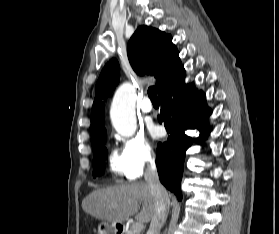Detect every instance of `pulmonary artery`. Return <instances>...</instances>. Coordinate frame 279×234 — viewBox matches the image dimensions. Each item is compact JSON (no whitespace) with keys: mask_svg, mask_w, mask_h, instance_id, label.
I'll list each match as a JSON object with an SVG mask.
<instances>
[{"mask_svg":"<svg viewBox=\"0 0 279 234\" xmlns=\"http://www.w3.org/2000/svg\"><path fill=\"white\" fill-rule=\"evenodd\" d=\"M140 110L143 113H151L153 110L152 103L150 102L149 98L145 97L142 102L140 103Z\"/></svg>","mask_w":279,"mask_h":234,"instance_id":"obj_1","label":"pulmonary artery"}]
</instances>
